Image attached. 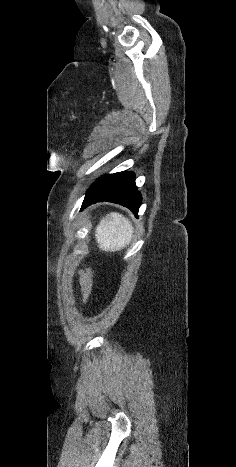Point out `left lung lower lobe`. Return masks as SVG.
<instances>
[{"instance_id": "obj_1", "label": "left lung lower lobe", "mask_w": 236, "mask_h": 467, "mask_svg": "<svg viewBox=\"0 0 236 467\" xmlns=\"http://www.w3.org/2000/svg\"><path fill=\"white\" fill-rule=\"evenodd\" d=\"M101 201L119 203L137 215L142 197L134 173L124 171L99 178L86 192L81 209Z\"/></svg>"}]
</instances>
